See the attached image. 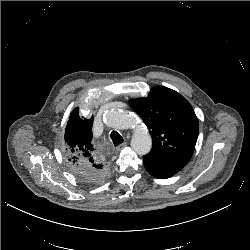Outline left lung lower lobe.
<instances>
[{"label": "left lung lower lobe", "instance_id": "obj_1", "mask_svg": "<svg viewBox=\"0 0 250 250\" xmlns=\"http://www.w3.org/2000/svg\"><path fill=\"white\" fill-rule=\"evenodd\" d=\"M143 161H144V166H145L146 170L152 176L159 178V179H166V178L172 177L173 175H175L178 172V171L171 170V169L157 167V166L149 163L146 160H143Z\"/></svg>", "mask_w": 250, "mask_h": 250}]
</instances>
